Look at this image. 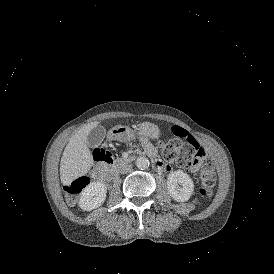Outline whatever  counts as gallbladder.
I'll list each match as a JSON object with an SVG mask.
<instances>
[{"instance_id":"obj_1","label":"gallbladder","mask_w":274,"mask_h":274,"mask_svg":"<svg viewBox=\"0 0 274 274\" xmlns=\"http://www.w3.org/2000/svg\"><path fill=\"white\" fill-rule=\"evenodd\" d=\"M106 129L102 125H96L93 127L88 136H87V144L90 147L98 146L105 138Z\"/></svg>"}]
</instances>
